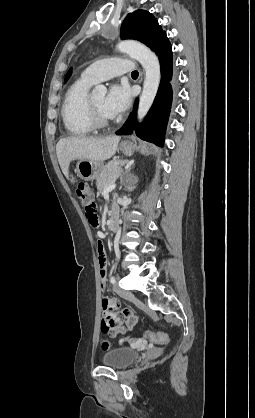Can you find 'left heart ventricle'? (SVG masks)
Listing matches in <instances>:
<instances>
[{"mask_svg":"<svg viewBox=\"0 0 255 418\" xmlns=\"http://www.w3.org/2000/svg\"><path fill=\"white\" fill-rule=\"evenodd\" d=\"M104 99L105 97L103 95H94L91 97V100L94 106L96 107V109L98 110V112L100 113V115L106 119H109L103 111Z\"/></svg>","mask_w":255,"mask_h":418,"instance_id":"b2bd125f","label":"left heart ventricle"}]
</instances>
